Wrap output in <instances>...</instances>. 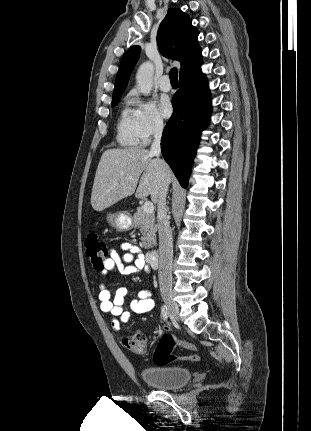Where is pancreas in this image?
Segmentation results:
<instances>
[{"instance_id":"cf45deb5","label":"pancreas","mask_w":311,"mask_h":431,"mask_svg":"<svg viewBox=\"0 0 311 431\" xmlns=\"http://www.w3.org/2000/svg\"><path fill=\"white\" fill-rule=\"evenodd\" d=\"M134 221L135 227H138L143 235L141 237L143 247L150 249V247L156 245L157 225L154 214H146V212H143V208H137L134 214Z\"/></svg>"}]
</instances>
